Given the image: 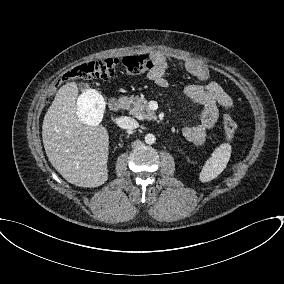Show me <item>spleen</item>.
I'll return each mask as SVG.
<instances>
[{"instance_id": "1", "label": "spleen", "mask_w": 284, "mask_h": 284, "mask_svg": "<svg viewBox=\"0 0 284 284\" xmlns=\"http://www.w3.org/2000/svg\"><path fill=\"white\" fill-rule=\"evenodd\" d=\"M231 156V145L228 143L221 144L211 154L205 162L199 179L201 182H209L215 179L225 168Z\"/></svg>"}]
</instances>
